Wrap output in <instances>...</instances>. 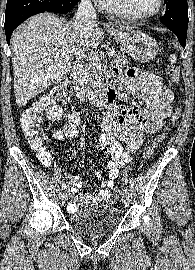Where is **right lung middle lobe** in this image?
<instances>
[{
	"label": "right lung middle lobe",
	"mask_w": 195,
	"mask_h": 270,
	"mask_svg": "<svg viewBox=\"0 0 195 270\" xmlns=\"http://www.w3.org/2000/svg\"><path fill=\"white\" fill-rule=\"evenodd\" d=\"M61 3L56 7V12L58 13H66L70 9L74 7V3H72V0H60Z\"/></svg>",
	"instance_id": "1"
}]
</instances>
